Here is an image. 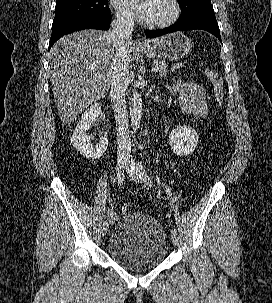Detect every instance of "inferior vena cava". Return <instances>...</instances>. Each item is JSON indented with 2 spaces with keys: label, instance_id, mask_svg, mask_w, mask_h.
I'll use <instances>...</instances> for the list:
<instances>
[{
  "label": "inferior vena cava",
  "instance_id": "obj_1",
  "mask_svg": "<svg viewBox=\"0 0 272 303\" xmlns=\"http://www.w3.org/2000/svg\"><path fill=\"white\" fill-rule=\"evenodd\" d=\"M133 28L134 20L127 14H118L117 19L111 23L116 54L113 60L110 97L117 127V156L119 160H130L132 158L125 92L129 85V54L127 47L132 39Z\"/></svg>",
  "mask_w": 272,
  "mask_h": 303
}]
</instances>
